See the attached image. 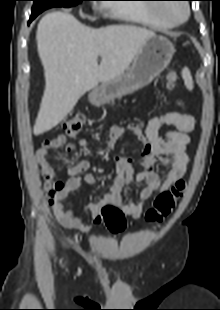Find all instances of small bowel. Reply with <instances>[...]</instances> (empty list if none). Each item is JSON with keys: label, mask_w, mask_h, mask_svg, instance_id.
Masks as SVG:
<instances>
[{"label": "small bowel", "mask_w": 220, "mask_h": 310, "mask_svg": "<svg viewBox=\"0 0 220 310\" xmlns=\"http://www.w3.org/2000/svg\"><path fill=\"white\" fill-rule=\"evenodd\" d=\"M163 126L174 127L164 137L160 136V129ZM195 119L190 115L184 106L180 111H170L161 116L153 117L147 122L139 121L128 127L114 125L110 128L105 144L108 149H113L118 139L126 132L134 135L144 145L141 153L140 164L142 169L137 170L131 158L119 155H112L117 176L108 191L102 196L96 197L87 205L92 218L91 225H85L64 205L68 195L77 190L84 182L93 185L95 179L92 174L87 173L90 166L88 160H79L67 170L68 178L63 189L56 195L55 203L52 206L54 215L59 223L69 229L88 233L95 225L101 223L100 212L103 206L113 204L118 206L122 212L137 220L141 217L145 202L153 193H160L169 189L174 183L183 178L189 164V157L186 149L190 142L189 132L194 129ZM88 140L80 138L78 145L87 147ZM65 148L67 151L75 149V145L67 141V138L60 134L52 139L45 140L36 153V159L46 175L54 176V169L48 158L50 150L54 148ZM160 161L169 165L170 169L163 177L154 171L153 165ZM144 183L135 200L123 203L121 192L123 187L132 182Z\"/></svg>", "instance_id": "obj_1"}]
</instances>
